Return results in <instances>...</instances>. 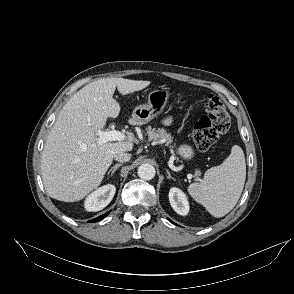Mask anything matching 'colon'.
I'll use <instances>...</instances> for the list:
<instances>
[{
	"label": "colon",
	"instance_id": "colon-1",
	"mask_svg": "<svg viewBox=\"0 0 294 294\" xmlns=\"http://www.w3.org/2000/svg\"><path fill=\"white\" fill-rule=\"evenodd\" d=\"M231 117L223 102L215 95H209L205 101V114L196 123L193 140L199 151H207L220 136L228 132Z\"/></svg>",
	"mask_w": 294,
	"mask_h": 294
}]
</instances>
